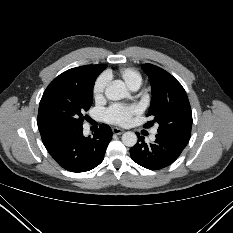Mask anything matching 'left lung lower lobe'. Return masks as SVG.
Returning a JSON list of instances; mask_svg holds the SVG:
<instances>
[{
	"instance_id": "0a47b994",
	"label": "left lung lower lobe",
	"mask_w": 233,
	"mask_h": 233,
	"mask_svg": "<svg viewBox=\"0 0 233 233\" xmlns=\"http://www.w3.org/2000/svg\"><path fill=\"white\" fill-rule=\"evenodd\" d=\"M136 134L139 142L130 149L131 158L150 170H159L171 165L189 142L188 138L158 133L155 142L148 144L142 136Z\"/></svg>"
}]
</instances>
